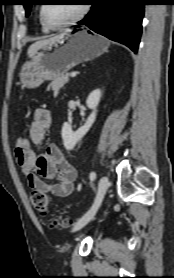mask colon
Returning a JSON list of instances; mask_svg holds the SVG:
<instances>
[{"label": "colon", "instance_id": "obj_1", "mask_svg": "<svg viewBox=\"0 0 174 278\" xmlns=\"http://www.w3.org/2000/svg\"><path fill=\"white\" fill-rule=\"evenodd\" d=\"M30 146V140L25 137H18L15 142V148L19 151H23ZM30 200L35 208L40 214L45 215L48 208V197L45 193L41 191H31ZM69 221L67 219H54L51 222V226L54 228H62L68 226Z\"/></svg>", "mask_w": 174, "mask_h": 278}]
</instances>
